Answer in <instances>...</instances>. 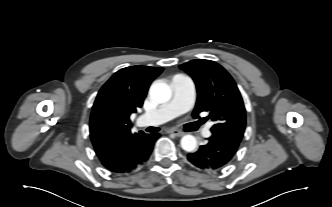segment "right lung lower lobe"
<instances>
[{
    "label": "right lung lower lobe",
    "mask_w": 332,
    "mask_h": 207,
    "mask_svg": "<svg viewBox=\"0 0 332 207\" xmlns=\"http://www.w3.org/2000/svg\"><path fill=\"white\" fill-rule=\"evenodd\" d=\"M159 134H140L115 153L99 157L102 165L113 173H130L150 156Z\"/></svg>",
    "instance_id": "right-lung-lower-lobe-1"
}]
</instances>
